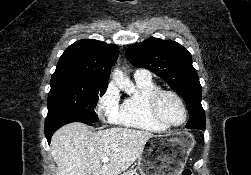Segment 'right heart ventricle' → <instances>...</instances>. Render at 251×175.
I'll list each match as a JSON object with an SVG mask.
<instances>
[{"label":"right heart ventricle","instance_id":"e07e8e85","mask_svg":"<svg viewBox=\"0 0 251 175\" xmlns=\"http://www.w3.org/2000/svg\"><path fill=\"white\" fill-rule=\"evenodd\" d=\"M157 89L153 81H136L135 91L122 103L116 122L146 132H166L167 129L150 116L146 107L147 98Z\"/></svg>","mask_w":251,"mask_h":175}]
</instances>
